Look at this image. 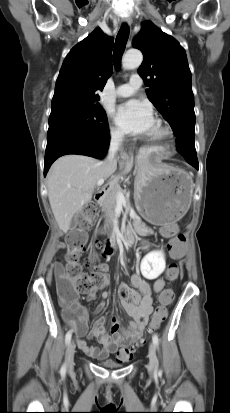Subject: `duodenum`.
Returning a JSON list of instances; mask_svg holds the SVG:
<instances>
[{
	"instance_id": "duodenum-1",
	"label": "duodenum",
	"mask_w": 230,
	"mask_h": 413,
	"mask_svg": "<svg viewBox=\"0 0 230 413\" xmlns=\"http://www.w3.org/2000/svg\"><path fill=\"white\" fill-rule=\"evenodd\" d=\"M108 192L107 187H103L100 189L96 195L95 200L101 202L104 200L106 194ZM134 240V233L132 230H127L125 234H122L118 231L113 230L109 233L108 239L106 240L104 247H103V255L108 257L114 253V250L120 243H127L130 244Z\"/></svg>"
}]
</instances>
